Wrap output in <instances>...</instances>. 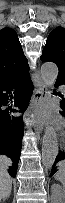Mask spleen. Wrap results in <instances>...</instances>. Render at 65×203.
I'll return each instance as SVG.
<instances>
[{"instance_id":"3e777b00","label":"spleen","mask_w":65,"mask_h":203,"mask_svg":"<svg viewBox=\"0 0 65 203\" xmlns=\"http://www.w3.org/2000/svg\"><path fill=\"white\" fill-rule=\"evenodd\" d=\"M55 179L60 181L62 184H65V166L64 163H61L59 169L55 175Z\"/></svg>"}]
</instances>
